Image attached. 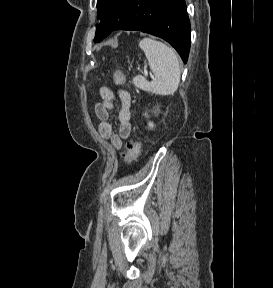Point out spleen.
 <instances>
[{
    "instance_id": "obj_1",
    "label": "spleen",
    "mask_w": 273,
    "mask_h": 288,
    "mask_svg": "<svg viewBox=\"0 0 273 288\" xmlns=\"http://www.w3.org/2000/svg\"><path fill=\"white\" fill-rule=\"evenodd\" d=\"M139 47L144 51L154 73L151 81L143 76L133 78L138 88L157 95H173L180 83V65L174 50L166 44L151 38H143Z\"/></svg>"
}]
</instances>
